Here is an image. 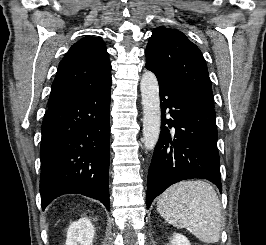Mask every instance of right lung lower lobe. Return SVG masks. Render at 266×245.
<instances>
[{
  "instance_id": "98d812e1",
  "label": "right lung lower lobe",
  "mask_w": 266,
  "mask_h": 245,
  "mask_svg": "<svg viewBox=\"0 0 266 245\" xmlns=\"http://www.w3.org/2000/svg\"><path fill=\"white\" fill-rule=\"evenodd\" d=\"M111 83L83 89L48 108L42 123V210L64 194H82L109 210Z\"/></svg>"
}]
</instances>
